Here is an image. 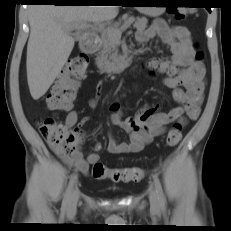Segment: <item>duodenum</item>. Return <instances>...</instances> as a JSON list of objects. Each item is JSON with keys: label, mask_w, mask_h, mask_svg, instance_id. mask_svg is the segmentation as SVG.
Listing matches in <instances>:
<instances>
[{"label": "duodenum", "mask_w": 231, "mask_h": 231, "mask_svg": "<svg viewBox=\"0 0 231 231\" xmlns=\"http://www.w3.org/2000/svg\"><path fill=\"white\" fill-rule=\"evenodd\" d=\"M99 46H100V39L96 33L88 32L84 35V38L81 42V50L84 53L91 54V53L95 52L99 48ZM129 61H130L129 56L124 57L120 61L117 68L120 66L127 65L129 63Z\"/></svg>", "instance_id": "410a0bca"}]
</instances>
